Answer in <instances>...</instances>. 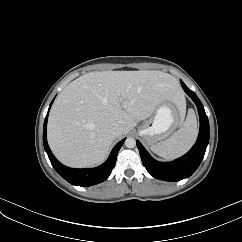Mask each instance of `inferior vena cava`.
<instances>
[{
	"label": "inferior vena cava",
	"mask_w": 242,
	"mask_h": 242,
	"mask_svg": "<svg viewBox=\"0 0 242 242\" xmlns=\"http://www.w3.org/2000/svg\"><path fill=\"white\" fill-rule=\"evenodd\" d=\"M110 133H111L113 136H115V137L121 135V134H122V128H121V126H119V125H117V124L112 125V126L110 127Z\"/></svg>",
	"instance_id": "obj_1"
}]
</instances>
